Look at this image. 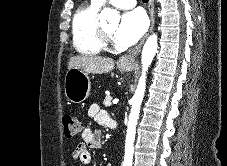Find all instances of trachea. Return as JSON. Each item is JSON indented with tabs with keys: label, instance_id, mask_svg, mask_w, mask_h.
<instances>
[{
	"label": "trachea",
	"instance_id": "obj_1",
	"mask_svg": "<svg viewBox=\"0 0 227 166\" xmlns=\"http://www.w3.org/2000/svg\"><path fill=\"white\" fill-rule=\"evenodd\" d=\"M144 3H147L148 2V0H142Z\"/></svg>",
	"mask_w": 227,
	"mask_h": 166
}]
</instances>
